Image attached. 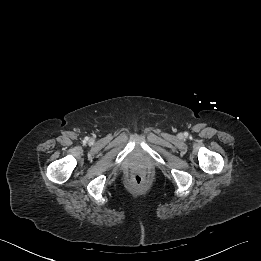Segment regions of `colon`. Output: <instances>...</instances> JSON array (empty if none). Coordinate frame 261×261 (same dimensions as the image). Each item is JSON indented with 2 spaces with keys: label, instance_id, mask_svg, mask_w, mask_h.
I'll return each instance as SVG.
<instances>
[{
  "label": "colon",
  "instance_id": "5ec220e1",
  "mask_svg": "<svg viewBox=\"0 0 261 261\" xmlns=\"http://www.w3.org/2000/svg\"><path fill=\"white\" fill-rule=\"evenodd\" d=\"M131 179L135 184L141 185L145 182V175L141 172H134Z\"/></svg>",
  "mask_w": 261,
  "mask_h": 261
}]
</instances>
